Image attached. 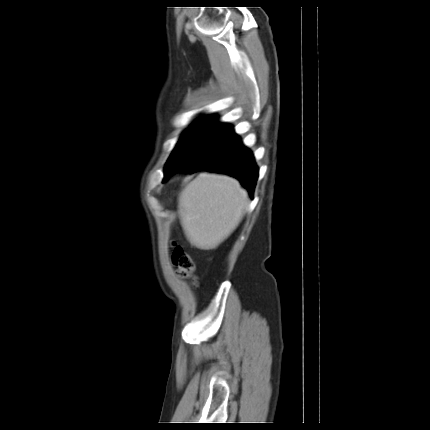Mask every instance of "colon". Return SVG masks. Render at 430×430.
Here are the masks:
<instances>
[{"instance_id":"colon-1","label":"colon","mask_w":430,"mask_h":430,"mask_svg":"<svg viewBox=\"0 0 430 430\" xmlns=\"http://www.w3.org/2000/svg\"><path fill=\"white\" fill-rule=\"evenodd\" d=\"M172 263L176 267L177 274L181 278H189L194 273V262L191 256L180 246H174L172 251Z\"/></svg>"}]
</instances>
